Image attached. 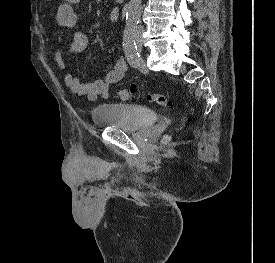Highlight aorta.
Segmentation results:
<instances>
[{"mask_svg":"<svg viewBox=\"0 0 275 263\" xmlns=\"http://www.w3.org/2000/svg\"><path fill=\"white\" fill-rule=\"evenodd\" d=\"M142 9V0H130L127 5L126 24L136 27L139 23Z\"/></svg>","mask_w":275,"mask_h":263,"instance_id":"obj_1","label":"aorta"}]
</instances>
